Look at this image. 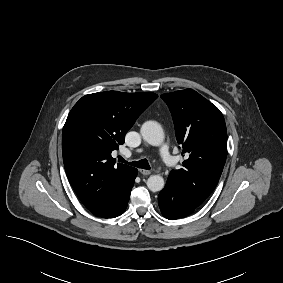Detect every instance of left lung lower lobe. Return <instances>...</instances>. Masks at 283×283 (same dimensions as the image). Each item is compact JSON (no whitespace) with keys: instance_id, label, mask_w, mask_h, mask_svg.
Masks as SVG:
<instances>
[{"instance_id":"0a47b994","label":"left lung lower lobe","mask_w":283,"mask_h":283,"mask_svg":"<svg viewBox=\"0 0 283 283\" xmlns=\"http://www.w3.org/2000/svg\"><path fill=\"white\" fill-rule=\"evenodd\" d=\"M158 204L163 216L170 220L186 217L198 207L171 179H167L165 188L160 192Z\"/></svg>"}]
</instances>
